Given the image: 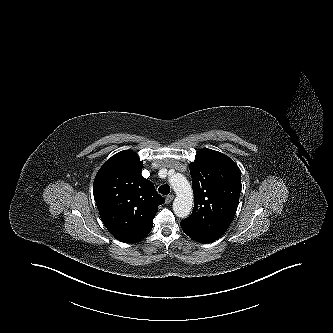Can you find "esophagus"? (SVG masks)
<instances>
[{
    "label": "esophagus",
    "mask_w": 333,
    "mask_h": 333,
    "mask_svg": "<svg viewBox=\"0 0 333 333\" xmlns=\"http://www.w3.org/2000/svg\"><path fill=\"white\" fill-rule=\"evenodd\" d=\"M173 199H174V195L170 194V195L166 196L165 201H166L167 204H169V203L172 202Z\"/></svg>",
    "instance_id": "1"
}]
</instances>
